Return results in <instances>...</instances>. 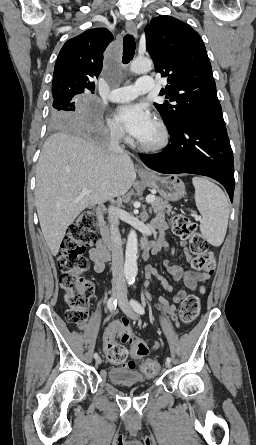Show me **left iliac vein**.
<instances>
[{
  "label": "left iliac vein",
  "mask_w": 256,
  "mask_h": 445,
  "mask_svg": "<svg viewBox=\"0 0 256 445\" xmlns=\"http://www.w3.org/2000/svg\"><path fill=\"white\" fill-rule=\"evenodd\" d=\"M118 305H119L120 309H121V310H122V311H123L129 318H131L132 320H136V319H137L136 314L134 313L133 309L131 308V306H130V304H129V302H128L127 294H126L125 291L121 293V296H120L119 301H118ZM170 366H171L170 362H167V361H166V362H165V367H166V368H170Z\"/></svg>",
  "instance_id": "1"
}]
</instances>
